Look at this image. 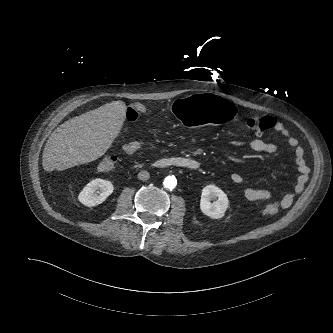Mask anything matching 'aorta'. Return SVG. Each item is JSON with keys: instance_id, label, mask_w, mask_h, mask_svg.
<instances>
[{"instance_id": "aorta-1", "label": "aorta", "mask_w": 333, "mask_h": 333, "mask_svg": "<svg viewBox=\"0 0 333 333\" xmlns=\"http://www.w3.org/2000/svg\"><path fill=\"white\" fill-rule=\"evenodd\" d=\"M164 186L168 189H173L177 185V180L174 176H168L164 179Z\"/></svg>"}]
</instances>
